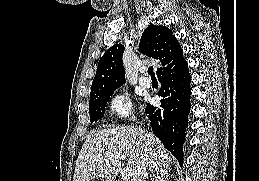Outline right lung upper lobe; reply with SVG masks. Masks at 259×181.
I'll return each mask as SVG.
<instances>
[{
	"mask_svg": "<svg viewBox=\"0 0 259 181\" xmlns=\"http://www.w3.org/2000/svg\"><path fill=\"white\" fill-rule=\"evenodd\" d=\"M139 46V52L148 57L159 59L162 66H165L173 57L183 51L169 28L152 24L143 32ZM123 52L124 46L116 44L101 57L92 82L90 98L116 90L125 83L122 64Z\"/></svg>",
	"mask_w": 259,
	"mask_h": 181,
	"instance_id": "1",
	"label": "right lung upper lobe"
}]
</instances>
